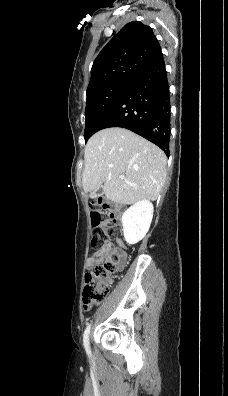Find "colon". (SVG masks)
<instances>
[{"label":"colon","mask_w":228,"mask_h":396,"mask_svg":"<svg viewBox=\"0 0 228 396\" xmlns=\"http://www.w3.org/2000/svg\"><path fill=\"white\" fill-rule=\"evenodd\" d=\"M98 204L100 208L93 210L90 215L94 227L91 244L94 247H103L107 245L109 238L115 232L114 225L119 222V211L104 200L100 199ZM121 261L122 253L117 250L110 251L102 265L96 266L85 275L83 306L86 310L91 309L105 298Z\"/></svg>","instance_id":"obj_1"}]
</instances>
